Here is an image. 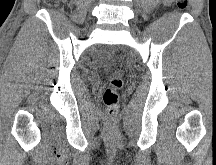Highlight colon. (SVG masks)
<instances>
[{"instance_id":"colon-1","label":"colon","mask_w":216,"mask_h":165,"mask_svg":"<svg viewBox=\"0 0 216 165\" xmlns=\"http://www.w3.org/2000/svg\"><path fill=\"white\" fill-rule=\"evenodd\" d=\"M49 6L57 5L59 0H43ZM179 9L184 10L188 6V0H176ZM124 83L120 71H113L108 76V86L103 92V102L106 106L108 118L113 120L118 114L119 90Z\"/></svg>"}]
</instances>
